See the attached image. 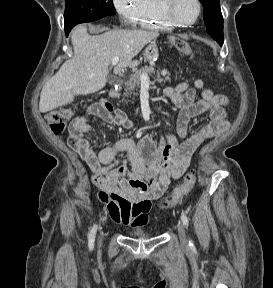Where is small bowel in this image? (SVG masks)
I'll use <instances>...</instances> for the list:
<instances>
[{"mask_svg": "<svg viewBox=\"0 0 273 288\" xmlns=\"http://www.w3.org/2000/svg\"><path fill=\"white\" fill-rule=\"evenodd\" d=\"M197 92L200 99H196ZM164 93L180 109L176 121V131L182 139L180 143L170 134L158 144L146 135L138 141L121 138L96 153L86 135L91 131L87 116H99L106 123L124 129L133 127L125 112L114 110L103 102L90 105L86 109L87 116L75 118L70 125L68 146L87 164L91 181L99 189L98 198L117 223L145 225L151 202L164 194L172 180L185 173L194 151L229 127L228 98L214 94L202 80H196L194 87L187 82L167 87ZM201 114H207L208 123L188 134L190 120ZM120 153H126L127 160L116 159Z\"/></svg>", "mask_w": 273, "mask_h": 288, "instance_id": "c3829d8e", "label": "small bowel"}]
</instances>
